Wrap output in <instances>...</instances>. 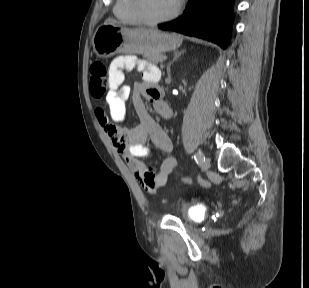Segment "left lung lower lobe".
Segmentation results:
<instances>
[{"label":"left lung lower lobe","mask_w":309,"mask_h":288,"mask_svg":"<svg viewBox=\"0 0 309 288\" xmlns=\"http://www.w3.org/2000/svg\"><path fill=\"white\" fill-rule=\"evenodd\" d=\"M233 3L234 0H189L181 17L158 27L204 38L225 49L231 38Z\"/></svg>","instance_id":"0a47b994"}]
</instances>
